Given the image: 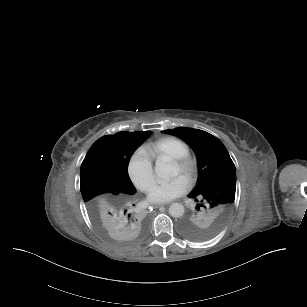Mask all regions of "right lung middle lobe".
I'll list each match as a JSON object with an SVG mask.
<instances>
[{"mask_svg": "<svg viewBox=\"0 0 307 307\" xmlns=\"http://www.w3.org/2000/svg\"><path fill=\"white\" fill-rule=\"evenodd\" d=\"M80 190L83 200L114 188L117 177L111 167L92 155H86L81 165Z\"/></svg>", "mask_w": 307, "mask_h": 307, "instance_id": "dd1d6c3e", "label": "right lung middle lobe"}]
</instances>
